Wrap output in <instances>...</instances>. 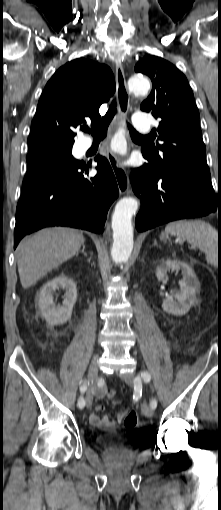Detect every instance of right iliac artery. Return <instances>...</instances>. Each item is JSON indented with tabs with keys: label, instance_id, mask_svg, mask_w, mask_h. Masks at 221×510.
Masks as SVG:
<instances>
[{
	"label": "right iliac artery",
	"instance_id": "82829eb1",
	"mask_svg": "<svg viewBox=\"0 0 221 510\" xmlns=\"http://www.w3.org/2000/svg\"><path fill=\"white\" fill-rule=\"evenodd\" d=\"M80 384H81L80 385V391H81V393H84L86 391V389H87V381L86 380L85 381H81ZM84 406H85V400H84L83 397H81L78 400V407L82 409V408H84Z\"/></svg>",
	"mask_w": 221,
	"mask_h": 510
}]
</instances>
